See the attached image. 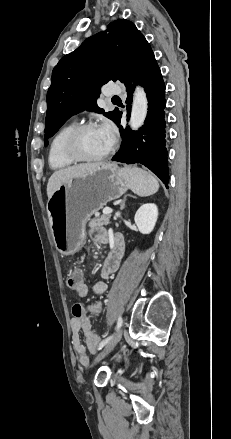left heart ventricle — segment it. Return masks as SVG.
Returning <instances> with one entry per match:
<instances>
[{
	"mask_svg": "<svg viewBox=\"0 0 231 439\" xmlns=\"http://www.w3.org/2000/svg\"><path fill=\"white\" fill-rule=\"evenodd\" d=\"M79 152L87 157H95L103 154L110 145L99 128L84 131L77 139Z\"/></svg>",
	"mask_w": 231,
	"mask_h": 439,
	"instance_id": "1",
	"label": "left heart ventricle"
}]
</instances>
